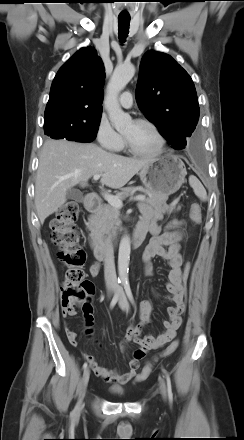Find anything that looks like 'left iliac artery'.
<instances>
[{"label":"left iliac artery","instance_id":"left-iliac-artery-1","mask_svg":"<svg viewBox=\"0 0 244 440\" xmlns=\"http://www.w3.org/2000/svg\"><path fill=\"white\" fill-rule=\"evenodd\" d=\"M123 285H124V289H125V292L129 298V300L131 301L132 304H134V298L132 295V291H131L129 282H124ZM164 373H165V377H166V381H167L168 398H169L170 403H172L173 393H172L171 379H170L169 374L166 371H164Z\"/></svg>","mask_w":244,"mask_h":440}]
</instances>
